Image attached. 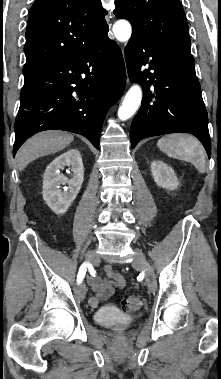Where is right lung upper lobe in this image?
Instances as JSON below:
<instances>
[{
  "mask_svg": "<svg viewBox=\"0 0 221 379\" xmlns=\"http://www.w3.org/2000/svg\"><path fill=\"white\" fill-rule=\"evenodd\" d=\"M106 13L100 0H35L23 71L91 46L108 33Z\"/></svg>",
  "mask_w": 221,
  "mask_h": 379,
  "instance_id": "cb5924a9",
  "label": "right lung upper lobe"
}]
</instances>
